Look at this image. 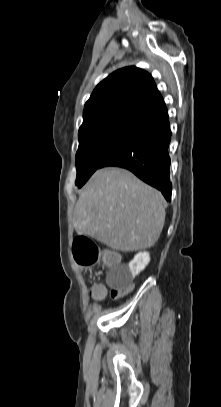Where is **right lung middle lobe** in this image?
<instances>
[{
	"label": "right lung middle lobe",
	"mask_w": 221,
	"mask_h": 407,
	"mask_svg": "<svg viewBox=\"0 0 221 407\" xmlns=\"http://www.w3.org/2000/svg\"><path fill=\"white\" fill-rule=\"evenodd\" d=\"M138 125L119 124L94 130L79 138L76 153V186L82 187L101 163L114 152Z\"/></svg>",
	"instance_id": "1"
}]
</instances>
